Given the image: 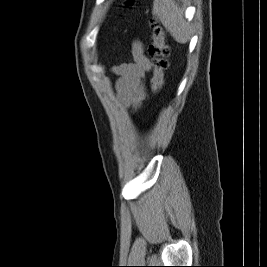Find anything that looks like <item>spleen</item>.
Segmentation results:
<instances>
[{"mask_svg": "<svg viewBox=\"0 0 267 267\" xmlns=\"http://www.w3.org/2000/svg\"><path fill=\"white\" fill-rule=\"evenodd\" d=\"M152 14L161 21L178 43L188 42L191 27L185 19L184 10L174 0H154Z\"/></svg>", "mask_w": 267, "mask_h": 267, "instance_id": "1", "label": "spleen"}]
</instances>
